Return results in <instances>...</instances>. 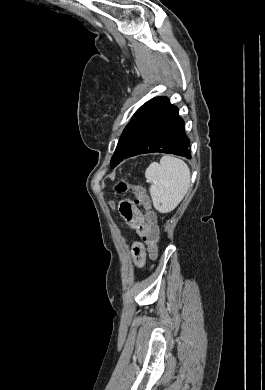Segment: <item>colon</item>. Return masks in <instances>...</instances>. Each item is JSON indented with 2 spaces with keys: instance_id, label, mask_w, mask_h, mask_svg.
Masks as SVG:
<instances>
[{
  "instance_id": "obj_1",
  "label": "colon",
  "mask_w": 265,
  "mask_h": 390,
  "mask_svg": "<svg viewBox=\"0 0 265 390\" xmlns=\"http://www.w3.org/2000/svg\"><path fill=\"white\" fill-rule=\"evenodd\" d=\"M128 190H131L133 196L135 197V202L146 208V221L151 226V233L146 243L148 245V251L151 258L156 259L158 252L157 245L159 241V229L156 224V215L153 211L148 209V196L142 186L130 185L125 181H121L116 185V191L118 193H124Z\"/></svg>"
}]
</instances>
